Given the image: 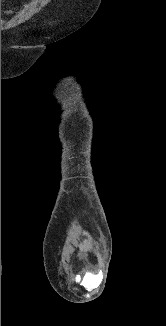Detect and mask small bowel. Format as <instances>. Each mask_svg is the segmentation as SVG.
Segmentation results:
<instances>
[{
  "label": "small bowel",
  "instance_id": "c3829d8e",
  "mask_svg": "<svg viewBox=\"0 0 166 326\" xmlns=\"http://www.w3.org/2000/svg\"><path fill=\"white\" fill-rule=\"evenodd\" d=\"M11 12H12V10H6V11H5L6 14H9V13H11Z\"/></svg>",
  "mask_w": 166,
  "mask_h": 326
}]
</instances>
